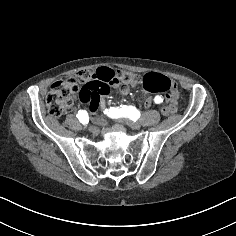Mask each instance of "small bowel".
<instances>
[{"label": "small bowel", "mask_w": 236, "mask_h": 236, "mask_svg": "<svg viewBox=\"0 0 236 236\" xmlns=\"http://www.w3.org/2000/svg\"><path fill=\"white\" fill-rule=\"evenodd\" d=\"M121 92H122L123 95H126L129 92L128 87H123ZM158 97H160L159 100H156L155 97L154 98H149L146 101V104L147 105H151V104H160V103H162L163 102V98L161 96H158ZM98 105L100 106V108H101V110L103 112L104 109L106 108L105 100L100 101Z\"/></svg>", "instance_id": "1"}]
</instances>
